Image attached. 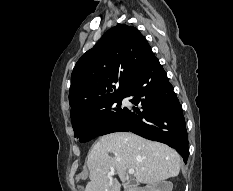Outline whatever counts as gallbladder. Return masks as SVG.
I'll list each match as a JSON object with an SVG mask.
<instances>
[{
    "label": "gallbladder",
    "mask_w": 233,
    "mask_h": 191,
    "mask_svg": "<svg viewBox=\"0 0 233 191\" xmlns=\"http://www.w3.org/2000/svg\"><path fill=\"white\" fill-rule=\"evenodd\" d=\"M129 183H130V184H134V182H133V181H130Z\"/></svg>",
    "instance_id": "obj_1"
}]
</instances>
